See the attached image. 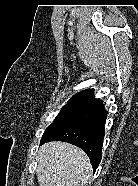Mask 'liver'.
<instances>
[{"label":"liver","mask_w":138,"mask_h":186,"mask_svg":"<svg viewBox=\"0 0 138 186\" xmlns=\"http://www.w3.org/2000/svg\"><path fill=\"white\" fill-rule=\"evenodd\" d=\"M37 163L39 186H85L91 178L89 158L83 150L69 143L43 144Z\"/></svg>","instance_id":"1"}]
</instances>
